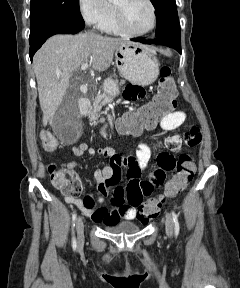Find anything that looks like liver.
<instances>
[{"mask_svg": "<svg viewBox=\"0 0 240 288\" xmlns=\"http://www.w3.org/2000/svg\"><path fill=\"white\" fill-rule=\"evenodd\" d=\"M124 44L141 45L92 32L55 35L45 42L33 59L43 126L62 104L73 72L84 63H89L95 71L106 70L113 63L115 50Z\"/></svg>", "mask_w": 240, "mask_h": 288, "instance_id": "liver-1", "label": "liver"}]
</instances>
